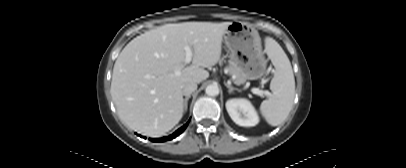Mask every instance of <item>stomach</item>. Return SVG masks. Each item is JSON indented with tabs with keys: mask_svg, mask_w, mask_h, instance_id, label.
I'll return each instance as SVG.
<instances>
[{
	"mask_svg": "<svg viewBox=\"0 0 406 168\" xmlns=\"http://www.w3.org/2000/svg\"><path fill=\"white\" fill-rule=\"evenodd\" d=\"M230 50L231 66L238 68L244 81L261 78L266 72L267 61L262 50L258 31L250 24L230 22L224 34Z\"/></svg>",
	"mask_w": 406,
	"mask_h": 168,
	"instance_id": "stomach-1",
	"label": "stomach"
}]
</instances>
